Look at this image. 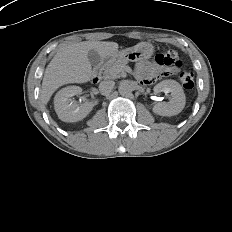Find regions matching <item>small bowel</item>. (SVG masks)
Listing matches in <instances>:
<instances>
[{
  "label": "small bowel",
  "mask_w": 232,
  "mask_h": 232,
  "mask_svg": "<svg viewBox=\"0 0 232 232\" xmlns=\"http://www.w3.org/2000/svg\"><path fill=\"white\" fill-rule=\"evenodd\" d=\"M136 72L139 76L141 83L147 86H154L156 81L163 78L176 79L179 77L180 72L173 67H164L162 65H155L149 61H141L136 66Z\"/></svg>",
  "instance_id": "1"
}]
</instances>
